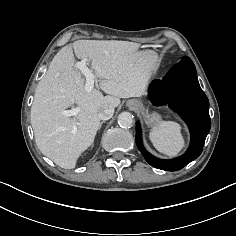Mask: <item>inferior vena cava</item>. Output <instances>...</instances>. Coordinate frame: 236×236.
<instances>
[{
  "mask_svg": "<svg viewBox=\"0 0 236 236\" xmlns=\"http://www.w3.org/2000/svg\"><path fill=\"white\" fill-rule=\"evenodd\" d=\"M114 114V107L110 105H105L100 112L98 113V117L100 120H108Z\"/></svg>",
  "mask_w": 236,
  "mask_h": 236,
  "instance_id": "602c4592",
  "label": "inferior vena cava"
}]
</instances>
